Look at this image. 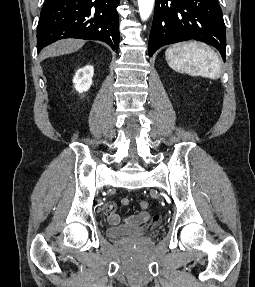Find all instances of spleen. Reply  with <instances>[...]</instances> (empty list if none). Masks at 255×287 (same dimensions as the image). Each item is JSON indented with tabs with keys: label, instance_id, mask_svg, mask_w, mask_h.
Listing matches in <instances>:
<instances>
[{
	"label": "spleen",
	"instance_id": "3e777b00",
	"mask_svg": "<svg viewBox=\"0 0 255 287\" xmlns=\"http://www.w3.org/2000/svg\"><path fill=\"white\" fill-rule=\"evenodd\" d=\"M166 60L173 70H183L185 66L193 72H199L202 78L218 80L221 74V62L215 52L200 42H180L173 44L165 52Z\"/></svg>",
	"mask_w": 255,
	"mask_h": 287
}]
</instances>
